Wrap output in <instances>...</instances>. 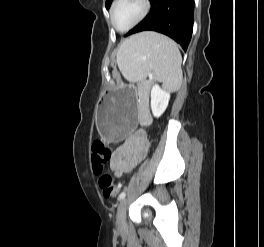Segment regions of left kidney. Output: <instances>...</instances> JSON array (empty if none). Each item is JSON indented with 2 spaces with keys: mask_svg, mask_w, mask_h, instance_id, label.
Masks as SVG:
<instances>
[{
  "mask_svg": "<svg viewBox=\"0 0 264 247\" xmlns=\"http://www.w3.org/2000/svg\"><path fill=\"white\" fill-rule=\"evenodd\" d=\"M170 93L155 84L151 89V110L154 117H160L166 110Z\"/></svg>",
  "mask_w": 264,
  "mask_h": 247,
  "instance_id": "left-kidney-1",
  "label": "left kidney"
}]
</instances>
